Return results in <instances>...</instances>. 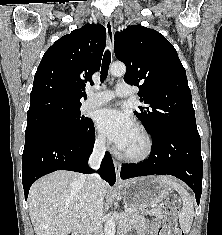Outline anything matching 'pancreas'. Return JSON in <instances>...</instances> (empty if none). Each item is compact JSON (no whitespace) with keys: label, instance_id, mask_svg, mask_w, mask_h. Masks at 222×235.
<instances>
[{"label":"pancreas","instance_id":"1","mask_svg":"<svg viewBox=\"0 0 222 235\" xmlns=\"http://www.w3.org/2000/svg\"><path fill=\"white\" fill-rule=\"evenodd\" d=\"M151 214L158 217V218L163 217L162 209L159 207L152 209ZM126 216H127V219L130 223H136V222L143 219L142 213L140 214L137 210L127 213Z\"/></svg>","mask_w":222,"mask_h":235}]
</instances>
